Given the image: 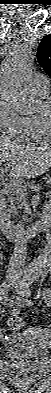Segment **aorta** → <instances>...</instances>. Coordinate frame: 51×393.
Returning a JSON list of instances; mask_svg holds the SVG:
<instances>
[{"mask_svg": "<svg viewBox=\"0 0 51 393\" xmlns=\"http://www.w3.org/2000/svg\"><path fill=\"white\" fill-rule=\"evenodd\" d=\"M31 68V51L28 47L15 48L4 60L1 67V92L11 107L19 113H33L40 110L41 102L28 78ZM43 232L49 237V228ZM46 245L51 243L49 238L44 240ZM51 264V252L44 250L36 260L29 265V274L37 276L46 271Z\"/></svg>", "mask_w": 51, "mask_h": 393, "instance_id": "762f6f07", "label": "aorta"}]
</instances>
